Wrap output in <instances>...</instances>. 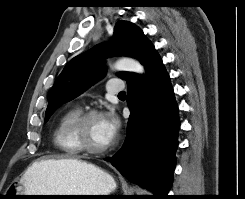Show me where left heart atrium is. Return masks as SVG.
Segmentation results:
<instances>
[{
	"instance_id": "obj_1",
	"label": "left heart atrium",
	"mask_w": 245,
	"mask_h": 199,
	"mask_svg": "<svg viewBox=\"0 0 245 199\" xmlns=\"http://www.w3.org/2000/svg\"><path fill=\"white\" fill-rule=\"evenodd\" d=\"M104 128L107 138L112 141L116 136L119 128V122L116 116L112 113H108L103 116Z\"/></svg>"
}]
</instances>
